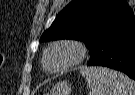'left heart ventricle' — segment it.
I'll return each mask as SVG.
<instances>
[{
    "instance_id": "b2bd125f",
    "label": "left heart ventricle",
    "mask_w": 135,
    "mask_h": 95,
    "mask_svg": "<svg viewBox=\"0 0 135 95\" xmlns=\"http://www.w3.org/2000/svg\"><path fill=\"white\" fill-rule=\"evenodd\" d=\"M74 56L75 53L71 48L58 47L49 53L46 59V66L49 69L61 68L71 62Z\"/></svg>"
}]
</instances>
